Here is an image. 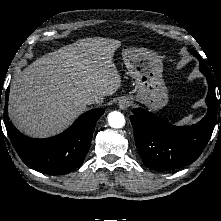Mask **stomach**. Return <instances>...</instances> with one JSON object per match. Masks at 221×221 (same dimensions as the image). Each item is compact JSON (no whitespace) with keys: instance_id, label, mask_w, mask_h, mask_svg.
<instances>
[{"instance_id":"obj_1","label":"stomach","mask_w":221,"mask_h":221,"mask_svg":"<svg viewBox=\"0 0 221 221\" xmlns=\"http://www.w3.org/2000/svg\"><path fill=\"white\" fill-rule=\"evenodd\" d=\"M122 55L128 74L135 80L131 100L153 111L164 107L168 102V90L162 78L163 63L160 56L138 48L125 49Z\"/></svg>"}]
</instances>
